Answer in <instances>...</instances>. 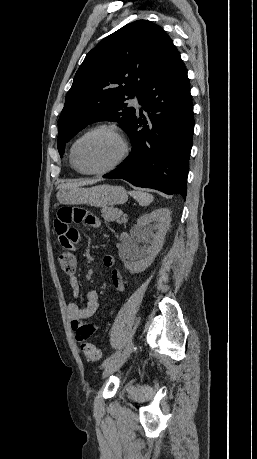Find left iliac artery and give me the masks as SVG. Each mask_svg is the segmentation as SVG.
Here are the masks:
<instances>
[{
	"mask_svg": "<svg viewBox=\"0 0 257 459\" xmlns=\"http://www.w3.org/2000/svg\"><path fill=\"white\" fill-rule=\"evenodd\" d=\"M120 355V351H117L115 353H113L111 356L107 357L103 364H102V367H106L108 366L110 363H112L118 356Z\"/></svg>",
	"mask_w": 257,
	"mask_h": 459,
	"instance_id": "obj_1",
	"label": "left iliac artery"
}]
</instances>
